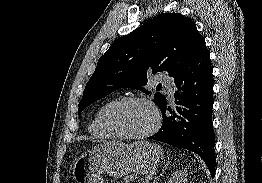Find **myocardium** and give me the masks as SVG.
Here are the masks:
<instances>
[{
	"mask_svg": "<svg viewBox=\"0 0 262 183\" xmlns=\"http://www.w3.org/2000/svg\"><path fill=\"white\" fill-rule=\"evenodd\" d=\"M133 103H138V104H144L148 106L152 112L154 113L155 121L153 126L146 132L142 134H136V135H131V134H124L116 130L111 122H110V117L114 111L117 109L127 105V104H133ZM102 124L104 129L112 136L115 138L119 139H125V140H143L146 139L153 134H155L158 129L160 128L161 125V115L157 107L154 105L153 102L150 100H147L145 98L141 97H124L119 100H116L112 102L103 112L102 115Z\"/></svg>",
	"mask_w": 262,
	"mask_h": 183,
	"instance_id": "f54148a6",
	"label": "myocardium"
}]
</instances>
